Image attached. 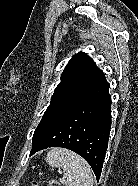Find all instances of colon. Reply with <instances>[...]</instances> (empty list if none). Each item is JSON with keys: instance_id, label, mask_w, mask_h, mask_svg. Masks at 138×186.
I'll return each instance as SVG.
<instances>
[{"instance_id": "colon-1", "label": "colon", "mask_w": 138, "mask_h": 186, "mask_svg": "<svg viewBox=\"0 0 138 186\" xmlns=\"http://www.w3.org/2000/svg\"><path fill=\"white\" fill-rule=\"evenodd\" d=\"M30 186H39L37 181H32ZM49 186H61L57 181H50Z\"/></svg>"}]
</instances>
